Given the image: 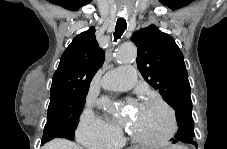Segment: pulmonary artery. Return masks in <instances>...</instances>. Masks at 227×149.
I'll return each mask as SVG.
<instances>
[{
    "mask_svg": "<svg viewBox=\"0 0 227 149\" xmlns=\"http://www.w3.org/2000/svg\"><path fill=\"white\" fill-rule=\"evenodd\" d=\"M136 70L133 66H120L104 74L102 87L113 91H125L136 83Z\"/></svg>",
    "mask_w": 227,
    "mask_h": 149,
    "instance_id": "e3ab8cb5",
    "label": "pulmonary artery"
}]
</instances>
